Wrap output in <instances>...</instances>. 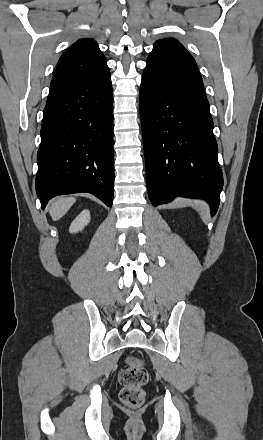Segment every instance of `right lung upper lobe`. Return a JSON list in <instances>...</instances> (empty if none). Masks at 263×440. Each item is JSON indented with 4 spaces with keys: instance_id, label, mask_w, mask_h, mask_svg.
Returning <instances> with one entry per match:
<instances>
[{
    "instance_id": "obj_1",
    "label": "right lung upper lobe",
    "mask_w": 263,
    "mask_h": 440,
    "mask_svg": "<svg viewBox=\"0 0 263 440\" xmlns=\"http://www.w3.org/2000/svg\"><path fill=\"white\" fill-rule=\"evenodd\" d=\"M109 71L106 59L93 39H81L61 56L51 81L50 93L80 84Z\"/></svg>"
}]
</instances>
